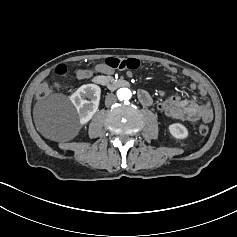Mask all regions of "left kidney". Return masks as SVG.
I'll list each match as a JSON object with an SVG mask.
<instances>
[{"label": "left kidney", "instance_id": "5707ae66", "mask_svg": "<svg viewBox=\"0 0 237 237\" xmlns=\"http://www.w3.org/2000/svg\"><path fill=\"white\" fill-rule=\"evenodd\" d=\"M169 131L171 135L177 139H184L188 136L187 128L180 123L171 124L169 126Z\"/></svg>", "mask_w": 237, "mask_h": 237}]
</instances>
